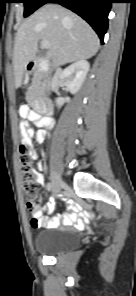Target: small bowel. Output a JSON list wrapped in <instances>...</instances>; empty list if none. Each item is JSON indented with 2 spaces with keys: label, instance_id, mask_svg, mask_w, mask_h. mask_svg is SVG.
I'll use <instances>...</instances> for the list:
<instances>
[{
  "label": "small bowel",
  "instance_id": "c3829d8e",
  "mask_svg": "<svg viewBox=\"0 0 136 296\" xmlns=\"http://www.w3.org/2000/svg\"><path fill=\"white\" fill-rule=\"evenodd\" d=\"M20 115L28 117L32 120L35 124L40 119V116L37 115L35 112L30 111L26 106H21L19 109ZM20 135L21 141L25 138L27 141L30 142V137L34 136L37 140H44L46 137V131L43 129L35 131L34 128L30 127L27 128L24 124L20 125ZM43 163H37V181L39 184H44L45 179L42 174L43 171ZM46 210L45 207L43 208H36L35 212L33 213V218L31 220L32 227L34 228H56L60 225L65 226H72L78 223V215L75 212L65 215H57L54 216L52 214V206L49 204L48 206V215L43 217V212Z\"/></svg>",
  "mask_w": 136,
  "mask_h": 296
}]
</instances>
